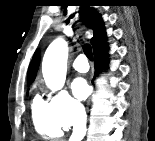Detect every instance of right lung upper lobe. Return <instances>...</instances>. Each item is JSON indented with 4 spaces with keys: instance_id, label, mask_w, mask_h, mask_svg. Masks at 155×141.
Segmentation results:
<instances>
[{
    "instance_id": "right-lung-upper-lobe-1",
    "label": "right lung upper lobe",
    "mask_w": 155,
    "mask_h": 141,
    "mask_svg": "<svg viewBox=\"0 0 155 141\" xmlns=\"http://www.w3.org/2000/svg\"><path fill=\"white\" fill-rule=\"evenodd\" d=\"M90 3L83 2L81 4V16L82 20L93 30V37L91 39L92 45L97 41V39L105 32L101 17L97 14L94 8H90ZM39 57L37 52H35L33 59L29 65L27 74V83L31 84L36 76L38 70Z\"/></svg>"
}]
</instances>
